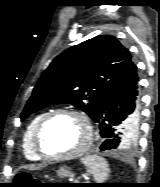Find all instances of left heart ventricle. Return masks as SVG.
Listing matches in <instances>:
<instances>
[{"instance_id":"obj_1","label":"left heart ventricle","mask_w":160,"mask_h":187,"mask_svg":"<svg viewBox=\"0 0 160 187\" xmlns=\"http://www.w3.org/2000/svg\"><path fill=\"white\" fill-rule=\"evenodd\" d=\"M86 139L82 121L74 116H59L49 123L43 136V147L51 153H70Z\"/></svg>"}]
</instances>
